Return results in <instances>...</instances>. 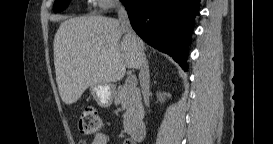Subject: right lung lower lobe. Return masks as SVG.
I'll return each mask as SVG.
<instances>
[{
	"mask_svg": "<svg viewBox=\"0 0 273 144\" xmlns=\"http://www.w3.org/2000/svg\"><path fill=\"white\" fill-rule=\"evenodd\" d=\"M136 33L169 54L186 71L194 16L200 0H121Z\"/></svg>",
	"mask_w": 273,
	"mask_h": 144,
	"instance_id": "1",
	"label": "right lung lower lobe"
}]
</instances>
